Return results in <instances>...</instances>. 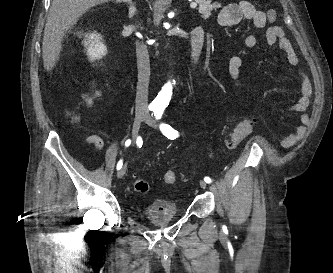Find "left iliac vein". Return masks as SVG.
I'll use <instances>...</instances> for the list:
<instances>
[{"label":"left iliac vein","instance_id":"obj_1","mask_svg":"<svg viewBox=\"0 0 333 273\" xmlns=\"http://www.w3.org/2000/svg\"><path fill=\"white\" fill-rule=\"evenodd\" d=\"M144 122L151 127L158 128V124L152 119V117L148 113L145 114ZM199 185L203 189L207 188V183L203 180L199 181Z\"/></svg>","mask_w":333,"mask_h":273}]
</instances>
